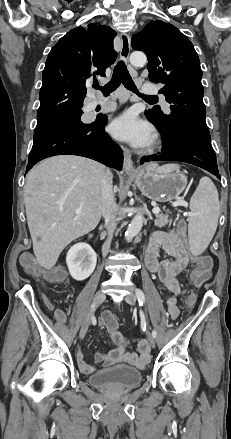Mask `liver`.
Masks as SVG:
<instances>
[{"label":"liver","mask_w":231,"mask_h":439,"mask_svg":"<svg viewBox=\"0 0 231 439\" xmlns=\"http://www.w3.org/2000/svg\"><path fill=\"white\" fill-rule=\"evenodd\" d=\"M107 171L88 158L58 155L41 161L27 174V222L34 254L46 270L53 268L68 244L98 225L101 179ZM77 208L82 209L80 214L75 213Z\"/></svg>","instance_id":"1"}]
</instances>
